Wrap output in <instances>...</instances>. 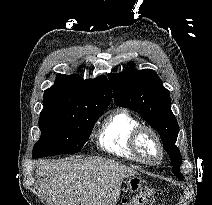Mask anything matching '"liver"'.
Wrapping results in <instances>:
<instances>
[{
    "label": "liver",
    "mask_w": 212,
    "mask_h": 205,
    "mask_svg": "<svg viewBox=\"0 0 212 205\" xmlns=\"http://www.w3.org/2000/svg\"><path fill=\"white\" fill-rule=\"evenodd\" d=\"M131 168L100 157L42 162L39 186L48 205H114Z\"/></svg>",
    "instance_id": "6515ba94"
}]
</instances>
